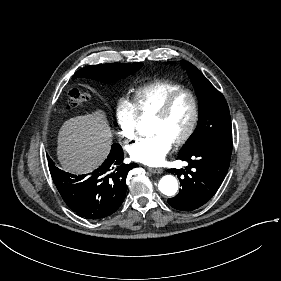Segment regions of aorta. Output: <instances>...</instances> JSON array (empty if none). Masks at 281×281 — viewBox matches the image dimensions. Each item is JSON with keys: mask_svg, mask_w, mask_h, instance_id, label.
I'll return each mask as SVG.
<instances>
[{"mask_svg": "<svg viewBox=\"0 0 281 281\" xmlns=\"http://www.w3.org/2000/svg\"><path fill=\"white\" fill-rule=\"evenodd\" d=\"M145 125H147L146 119L139 122L138 127L140 129H143ZM158 188L160 192L163 193L164 195L173 196L178 191L177 179L172 175H165L160 179Z\"/></svg>", "mask_w": 281, "mask_h": 281, "instance_id": "762f6f07", "label": "aorta"}]
</instances>
